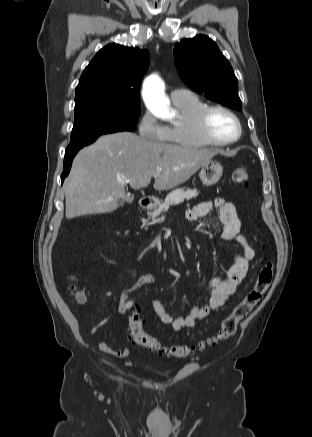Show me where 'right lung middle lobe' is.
<instances>
[{
  "instance_id": "obj_1",
  "label": "right lung middle lobe",
  "mask_w": 312,
  "mask_h": 437,
  "mask_svg": "<svg viewBox=\"0 0 312 437\" xmlns=\"http://www.w3.org/2000/svg\"><path fill=\"white\" fill-rule=\"evenodd\" d=\"M75 124L66 154L79 151L100 135L134 131L140 115V103L135 105L88 104L75 107Z\"/></svg>"
}]
</instances>
